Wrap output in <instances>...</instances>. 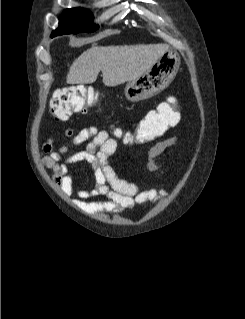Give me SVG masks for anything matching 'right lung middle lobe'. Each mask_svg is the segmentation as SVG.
Listing matches in <instances>:
<instances>
[{"label":"right lung middle lobe","mask_w":245,"mask_h":319,"mask_svg":"<svg viewBox=\"0 0 245 319\" xmlns=\"http://www.w3.org/2000/svg\"><path fill=\"white\" fill-rule=\"evenodd\" d=\"M92 14L82 8L66 10L59 22V28L53 35L77 32H94L99 26L94 25Z\"/></svg>","instance_id":"dd1d6c3e"}]
</instances>
